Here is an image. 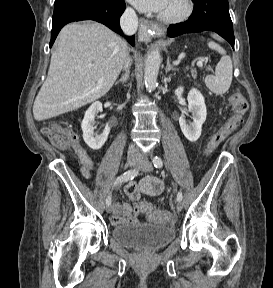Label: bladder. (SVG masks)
Returning <instances> with one entry per match:
<instances>
[{"label": "bladder", "instance_id": "obj_1", "mask_svg": "<svg viewBox=\"0 0 273 288\" xmlns=\"http://www.w3.org/2000/svg\"><path fill=\"white\" fill-rule=\"evenodd\" d=\"M174 238L173 228L148 223L118 224L111 231V239L119 247L141 252L161 249Z\"/></svg>", "mask_w": 273, "mask_h": 288}]
</instances>
